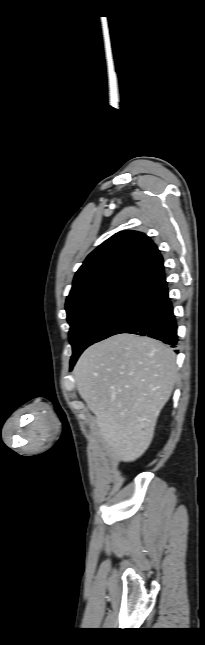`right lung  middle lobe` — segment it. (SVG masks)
<instances>
[{
  "mask_svg": "<svg viewBox=\"0 0 205 645\" xmlns=\"http://www.w3.org/2000/svg\"><path fill=\"white\" fill-rule=\"evenodd\" d=\"M147 289L122 286L66 306L73 347L71 366L89 345L102 338L146 297Z\"/></svg>",
  "mask_w": 205,
  "mask_h": 645,
  "instance_id": "dd1d6c3e",
  "label": "right lung middle lobe"
}]
</instances>
